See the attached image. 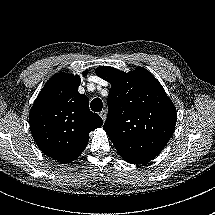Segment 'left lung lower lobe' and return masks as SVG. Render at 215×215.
Listing matches in <instances>:
<instances>
[{
  "label": "left lung lower lobe",
  "instance_id": "obj_1",
  "mask_svg": "<svg viewBox=\"0 0 215 215\" xmlns=\"http://www.w3.org/2000/svg\"><path fill=\"white\" fill-rule=\"evenodd\" d=\"M127 162L132 163V164L146 163V162H138V161H127Z\"/></svg>",
  "mask_w": 215,
  "mask_h": 215
}]
</instances>
